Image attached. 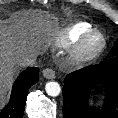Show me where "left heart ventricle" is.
I'll return each mask as SVG.
<instances>
[{
    "mask_svg": "<svg viewBox=\"0 0 118 118\" xmlns=\"http://www.w3.org/2000/svg\"><path fill=\"white\" fill-rule=\"evenodd\" d=\"M98 39H94L91 43H90V46L91 47H95L97 44H98Z\"/></svg>",
    "mask_w": 118,
    "mask_h": 118,
    "instance_id": "obj_1",
    "label": "left heart ventricle"
}]
</instances>
